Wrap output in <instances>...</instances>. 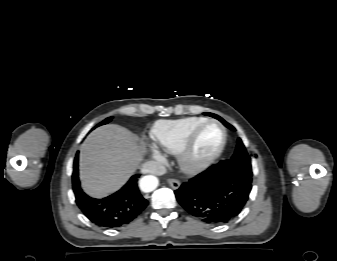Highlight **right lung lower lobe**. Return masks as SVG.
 I'll list each match as a JSON object with an SVG mask.
<instances>
[{"label":"right lung lower lobe","mask_w":337,"mask_h":261,"mask_svg":"<svg viewBox=\"0 0 337 261\" xmlns=\"http://www.w3.org/2000/svg\"><path fill=\"white\" fill-rule=\"evenodd\" d=\"M140 174L130 178L118 192L103 199H94L85 194L78 178V154L72 174L76 203L84 215L98 226L118 228L133 221L147 206L148 201L140 194L137 186Z\"/></svg>","instance_id":"1"}]
</instances>
